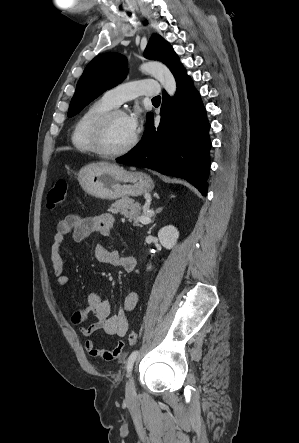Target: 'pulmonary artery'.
Segmentation results:
<instances>
[{"label": "pulmonary artery", "mask_w": 299, "mask_h": 443, "mask_svg": "<svg viewBox=\"0 0 299 443\" xmlns=\"http://www.w3.org/2000/svg\"><path fill=\"white\" fill-rule=\"evenodd\" d=\"M159 93V85L151 79H142L122 83L108 91L103 98L113 106H118L125 101L134 99L141 95L156 96Z\"/></svg>", "instance_id": "e3ab8cb5"}]
</instances>
